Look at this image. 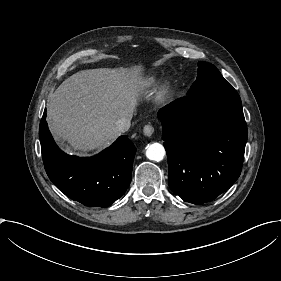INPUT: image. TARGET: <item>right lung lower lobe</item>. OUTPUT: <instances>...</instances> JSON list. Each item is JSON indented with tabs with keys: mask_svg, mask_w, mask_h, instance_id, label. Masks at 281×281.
I'll return each instance as SVG.
<instances>
[{
	"mask_svg": "<svg viewBox=\"0 0 281 281\" xmlns=\"http://www.w3.org/2000/svg\"><path fill=\"white\" fill-rule=\"evenodd\" d=\"M40 122L44 167L50 180L69 198L89 207H108L119 199L131 182L136 148L126 135L88 158L70 156L54 142L45 120Z\"/></svg>",
	"mask_w": 281,
	"mask_h": 281,
	"instance_id": "98d812e1",
	"label": "right lung lower lobe"
}]
</instances>
